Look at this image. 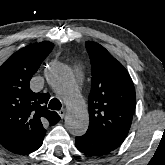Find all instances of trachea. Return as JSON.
<instances>
[{
	"label": "trachea",
	"instance_id": "trachea-1",
	"mask_svg": "<svg viewBox=\"0 0 165 165\" xmlns=\"http://www.w3.org/2000/svg\"><path fill=\"white\" fill-rule=\"evenodd\" d=\"M61 107H62L61 102L56 98L51 99L48 105V108L51 110H60Z\"/></svg>",
	"mask_w": 165,
	"mask_h": 165
}]
</instances>
